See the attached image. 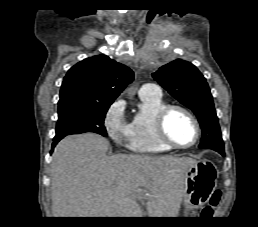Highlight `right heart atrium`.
I'll list each match as a JSON object with an SVG mask.
<instances>
[{"mask_svg": "<svg viewBox=\"0 0 258 227\" xmlns=\"http://www.w3.org/2000/svg\"><path fill=\"white\" fill-rule=\"evenodd\" d=\"M104 127L108 136L116 142L128 137L129 124L125 119L124 101L117 100L109 107L104 117Z\"/></svg>", "mask_w": 258, "mask_h": 227, "instance_id": "right-heart-atrium-1", "label": "right heart atrium"}]
</instances>
